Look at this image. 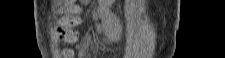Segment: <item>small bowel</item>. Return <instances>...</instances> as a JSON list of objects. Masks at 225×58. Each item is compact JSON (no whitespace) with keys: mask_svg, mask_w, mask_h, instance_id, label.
Here are the masks:
<instances>
[{"mask_svg":"<svg viewBox=\"0 0 225 58\" xmlns=\"http://www.w3.org/2000/svg\"><path fill=\"white\" fill-rule=\"evenodd\" d=\"M113 3V0H100L98 3V8L96 10V28L99 32L109 34L114 31L117 26V21L112 19L107 13L106 8ZM89 38V32L84 36L83 43L78 47L80 55H84L87 51V43ZM100 40H98L99 42Z\"/></svg>","mask_w":225,"mask_h":58,"instance_id":"c3829d8e","label":"small bowel"}]
</instances>
